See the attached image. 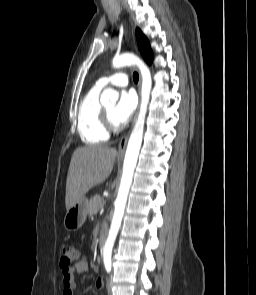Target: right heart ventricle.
Listing matches in <instances>:
<instances>
[{
	"mask_svg": "<svg viewBox=\"0 0 256 295\" xmlns=\"http://www.w3.org/2000/svg\"><path fill=\"white\" fill-rule=\"evenodd\" d=\"M101 87L93 86L82 99L78 110V132L86 144H98L108 140L109 133L102 123V105L99 100Z\"/></svg>",
	"mask_w": 256,
	"mask_h": 295,
	"instance_id": "e07e8e85",
	"label": "right heart ventricle"
}]
</instances>
